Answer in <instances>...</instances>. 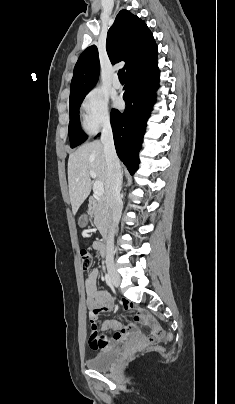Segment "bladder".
Instances as JSON below:
<instances>
[{
  "mask_svg": "<svg viewBox=\"0 0 235 404\" xmlns=\"http://www.w3.org/2000/svg\"><path fill=\"white\" fill-rule=\"evenodd\" d=\"M121 358V350L119 347H102L92 356L87 365L97 371H105L110 369Z\"/></svg>",
  "mask_w": 235,
  "mask_h": 404,
  "instance_id": "31cf9c89",
  "label": "bladder"
}]
</instances>
